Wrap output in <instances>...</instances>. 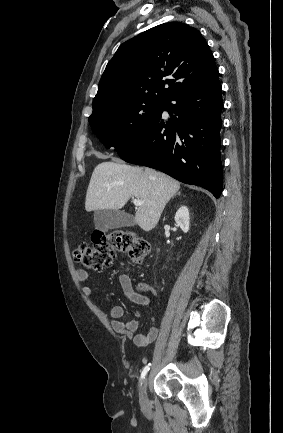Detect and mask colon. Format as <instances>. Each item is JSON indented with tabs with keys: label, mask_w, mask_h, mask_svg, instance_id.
<instances>
[{
	"label": "colon",
	"mask_w": 283,
	"mask_h": 433,
	"mask_svg": "<svg viewBox=\"0 0 283 433\" xmlns=\"http://www.w3.org/2000/svg\"><path fill=\"white\" fill-rule=\"evenodd\" d=\"M149 251L146 239L132 231L117 229L93 236L92 246L82 242L73 250V256L85 269L101 271L112 265L117 253H125L133 262H140Z\"/></svg>",
	"instance_id": "5ec220e1"
}]
</instances>
